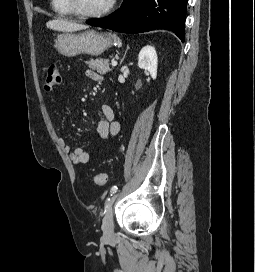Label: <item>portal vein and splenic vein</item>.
Returning a JSON list of instances; mask_svg holds the SVG:
<instances>
[{"instance_id": "portal-vein-and-splenic-vein-1", "label": "portal vein and splenic vein", "mask_w": 255, "mask_h": 272, "mask_svg": "<svg viewBox=\"0 0 255 272\" xmlns=\"http://www.w3.org/2000/svg\"><path fill=\"white\" fill-rule=\"evenodd\" d=\"M117 65V61L116 60H113L112 61V66H116Z\"/></svg>"}]
</instances>
